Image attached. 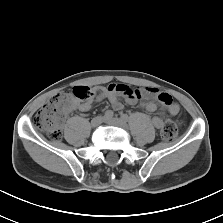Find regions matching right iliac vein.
I'll return each mask as SVG.
<instances>
[{"mask_svg":"<svg viewBox=\"0 0 223 223\" xmlns=\"http://www.w3.org/2000/svg\"><path fill=\"white\" fill-rule=\"evenodd\" d=\"M103 122V117L102 116H96L91 120V126L92 127H98L101 125Z\"/></svg>","mask_w":223,"mask_h":223,"instance_id":"right-iliac-vein-1","label":"right iliac vein"}]
</instances>
